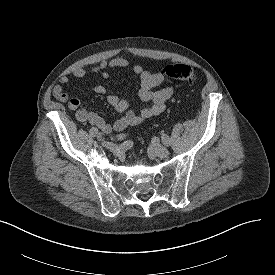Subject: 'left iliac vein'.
Masks as SVG:
<instances>
[{"label":"left iliac vein","instance_id":"left-iliac-vein-1","mask_svg":"<svg viewBox=\"0 0 275 275\" xmlns=\"http://www.w3.org/2000/svg\"><path fill=\"white\" fill-rule=\"evenodd\" d=\"M148 151L152 156L159 158H166L169 155L168 149L157 141L150 144Z\"/></svg>","mask_w":275,"mask_h":275}]
</instances>
